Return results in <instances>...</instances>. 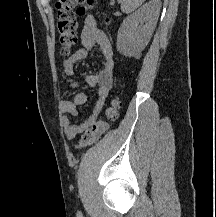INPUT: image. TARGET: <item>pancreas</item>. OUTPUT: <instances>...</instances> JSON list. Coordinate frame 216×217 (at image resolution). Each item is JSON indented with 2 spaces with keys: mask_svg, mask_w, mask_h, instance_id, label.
I'll list each match as a JSON object with an SVG mask.
<instances>
[{
  "mask_svg": "<svg viewBox=\"0 0 216 217\" xmlns=\"http://www.w3.org/2000/svg\"><path fill=\"white\" fill-rule=\"evenodd\" d=\"M116 15H117V16H120V13L117 12Z\"/></svg>",
  "mask_w": 216,
  "mask_h": 217,
  "instance_id": "pancreas-1",
  "label": "pancreas"
}]
</instances>
